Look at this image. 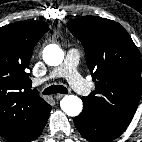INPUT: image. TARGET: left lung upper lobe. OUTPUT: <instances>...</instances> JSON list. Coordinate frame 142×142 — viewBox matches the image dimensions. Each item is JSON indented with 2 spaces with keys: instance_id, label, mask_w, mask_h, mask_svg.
Returning a JSON list of instances; mask_svg holds the SVG:
<instances>
[{
  "instance_id": "obj_1",
  "label": "left lung upper lobe",
  "mask_w": 142,
  "mask_h": 142,
  "mask_svg": "<svg viewBox=\"0 0 142 142\" xmlns=\"http://www.w3.org/2000/svg\"><path fill=\"white\" fill-rule=\"evenodd\" d=\"M68 29L83 44L95 91L82 100L115 124L128 127L141 92L142 62L128 32L98 16L70 20Z\"/></svg>"
}]
</instances>
